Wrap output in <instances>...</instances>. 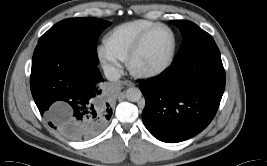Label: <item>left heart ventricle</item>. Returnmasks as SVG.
Instances as JSON below:
<instances>
[{"mask_svg":"<svg viewBox=\"0 0 267 166\" xmlns=\"http://www.w3.org/2000/svg\"><path fill=\"white\" fill-rule=\"evenodd\" d=\"M172 48L171 33L165 28L155 30L146 40L134 63L138 69H152L162 65Z\"/></svg>","mask_w":267,"mask_h":166,"instance_id":"b2bd125f","label":"left heart ventricle"}]
</instances>
